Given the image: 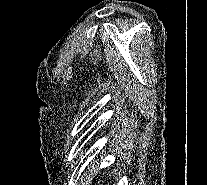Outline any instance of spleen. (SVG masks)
<instances>
[{"instance_id": "obj_1", "label": "spleen", "mask_w": 207, "mask_h": 185, "mask_svg": "<svg viewBox=\"0 0 207 185\" xmlns=\"http://www.w3.org/2000/svg\"><path fill=\"white\" fill-rule=\"evenodd\" d=\"M116 174H111L110 183H115Z\"/></svg>"}]
</instances>
